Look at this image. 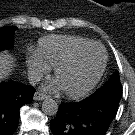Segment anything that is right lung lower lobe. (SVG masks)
Masks as SVG:
<instances>
[{"mask_svg":"<svg viewBox=\"0 0 135 135\" xmlns=\"http://www.w3.org/2000/svg\"><path fill=\"white\" fill-rule=\"evenodd\" d=\"M35 89L17 82L0 84V135H12L19 121V110L32 102Z\"/></svg>","mask_w":135,"mask_h":135,"instance_id":"right-lung-lower-lobe-1","label":"right lung lower lobe"}]
</instances>
